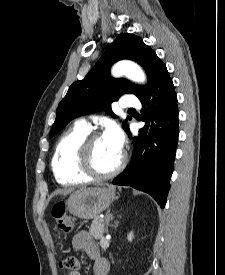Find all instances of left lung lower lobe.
I'll list each match as a JSON object with an SVG mask.
<instances>
[{
    "label": "left lung lower lobe",
    "instance_id": "0a47b994",
    "mask_svg": "<svg viewBox=\"0 0 225 275\" xmlns=\"http://www.w3.org/2000/svg\"><path fill=\"white\" fill-rule=\"evenodd\" d=\"M139 99L146 125L139 130V136L133 138L130 164L112 183L144 191L164 208L173 173L179 124L177 95L167 69ZM150 118L156 124L151 121L148 129ZM126 132L131 138L129 129Z\"/></svg>",
    "mask_w": 225,
    "mask_h": 275
}]
</instances>
